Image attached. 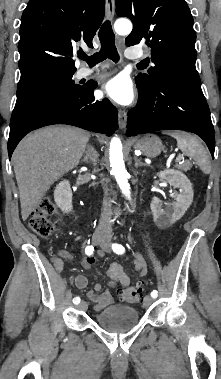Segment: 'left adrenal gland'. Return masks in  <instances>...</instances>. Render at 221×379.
I'll return each instance as SVG.
<instances>
[{
    "label": "left adrenal gland",
    "instance_id": "left-adrenal-gland-1",
    "mask_svg": "<svg viewBox=\"0 0 221 379\" xmlns=\"http://www.w3.org/2000/svg\"><path fill=\"white\" fill-rule=\"evenodd\" d=\"M135 167L138 168L139 166H144L145 164L143 162H140V160L135 156Z\"/></svg>",
    "mask_w": 221,
    "mask_h": 379
}]
</instances>
